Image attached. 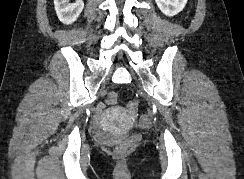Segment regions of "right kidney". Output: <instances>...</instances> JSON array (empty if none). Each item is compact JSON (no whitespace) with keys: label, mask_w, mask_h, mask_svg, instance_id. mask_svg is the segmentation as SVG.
Listing matches in <instances>:
<instances>
[{"label":"right kidney","mask_w":244,"mask_h":179,"mask_svg":"<svg viewBox=\"0 0 244 179\" xmlns=\"http://www.w3.org/2000/svg\"><path fill=\"white\" fill-rule=\"evenodd\" d=\"M70 0H54L56 14L62 24H73L79 18L83 8V0H76L74 4H69Z\"/></svg>","instance_id":"right-kidney-1"}]
</instances>
